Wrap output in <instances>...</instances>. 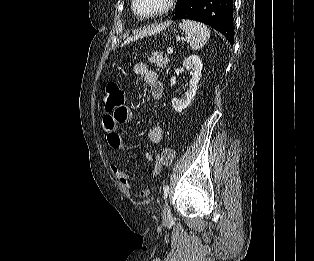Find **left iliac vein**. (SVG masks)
<instances>
[{
    "label": "left iliac vein",
    "mask_w": 314,
    "mask_h": 261,
    "mask_svg": "<svg viewBox=\"0 0 314 261\" xmlns=\"http://www.w3.org/2000/svg\"><path fill=\"white\" fill-rule=\"evenodd\" d=\"M163 213H164L165 218L171 217V211H170V208H169V205L167 202H165V204H164Z\"/></svg>",
    "instance_id": "1"
}]
</instances>
